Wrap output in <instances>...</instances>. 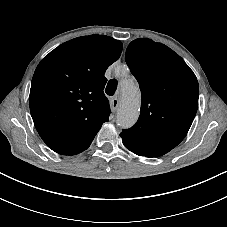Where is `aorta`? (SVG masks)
I'll list each match as a JSON object with an SVG mask.
<instances>
[{"label": "aorta", "mask_w": 227, "mask_h": 227, "mask_svg": "<svg viewBox=\"0 0 227 227\" xmlns=\"http://www.w3.org/2000/svg\"><path fill=\"white\" fill-rule=\"evenodd\" d=\"M122 104L117 112V124L122 128L132 127L138 117L140 109V91L131 80L121 82Z\"/></svg>", "instance_id": "aorta-1"}]
</instances>
